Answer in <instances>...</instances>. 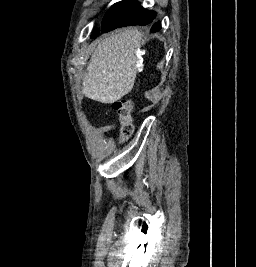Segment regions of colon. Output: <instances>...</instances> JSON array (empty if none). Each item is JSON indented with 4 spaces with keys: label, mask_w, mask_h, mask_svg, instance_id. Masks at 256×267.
I'll return each instance as SVG.
<instances>
[{
    "label": "colon",
    "mask_w": 256,
    "mask_h": 267,
    "mask_svg": "<svg viewBox=\"0 0 256 267\" xmlns=\"http://www.w3.org/2000/svg\"><path fill=\"white\" fill-rule=\"evenodd\" d=\"M113 109L121 116V137L127 139L133 132L132 113L133 104L131 101L123 99L113 103Z\"/></svg>",
    "instance_id": "1"
}]
</instances>
